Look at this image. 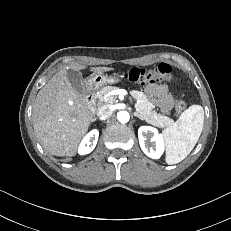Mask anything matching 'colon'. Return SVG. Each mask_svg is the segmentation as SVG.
Instances as JSON below:
<instances>
[{"label": "colon", "instance_id": "1", "mask_svg": "<svg viewBox=\"0 0 231 231\" xmlns=\"http://www.w3.org/2000/svg\"><path fill=\"white\" fill-rule=\"evenodd\" d=\"M123 77L139 85L151 84L159 80H173L171 67L165 63L159 64L151 68H132L125 72ZM186 107L187 104L183 99L176 100V113L181 114L185 111Z\"/></svg>", "mask_w": 231, "mask_h": 231}]
</instances>
